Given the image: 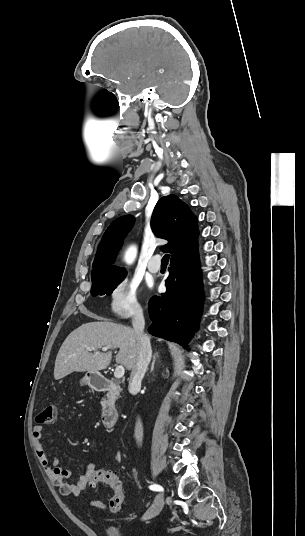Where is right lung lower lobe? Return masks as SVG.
Returning a JSON list of instances; mask_svg holds the SVG:
<instances>
[{"label": "right lung lower lobe", "instance_id": "obj_1", "mask_svg": "<svg viewBox=\"0 0 305 536\" xmlns=\"http://www.w3.org/2000/svg\"><path fill=\"white\" fill-rule=\"evenodd\" d=\"M166 293L149 302L150 334L186 346L203 307L198 250L171 260Z\"/></svg>", "mask_w": 305, "mask_h": 536}]
</instances>
